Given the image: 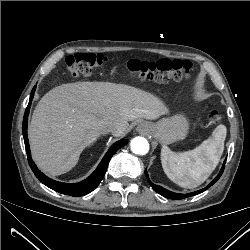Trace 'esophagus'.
I'll list each match as a JSON object with an SVG mask.
<instances>
[{
  "mask_svg": "<svg viewBox=\"0 0 250 250\" xmlns=\"http://www.w3.org/2000/svg\"><path fill=\"white\" fill-rule=\"evenodd\" d=\"M137 131L141 133H148L150 131L149 125L147 123H140L137 126Z\"/></svg>",
  "mask_w": 250,
  "mask_h": 250,
  "instance_id": "34e87169",
  "label": "esophagus"
}]
</instances>
